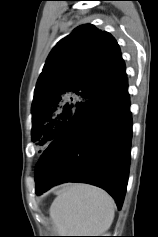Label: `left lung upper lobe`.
Instances as JSON below:
<instances>
[{
	"mask_svg": "<svg viewBox=\"0 0 158 237\" xmlns=\"http://www.w3.org/2000/svg\"><path fill=\"white\" fill-rule=\"evenodd\" d=\"M126 78L116 40L85 24L60 40L40 74L32 103V140L55 139L67 121L92 97ZM42 176L35 171L36 184Z\"/></svg>",
	"mask_w": 158,
	"mask_h": 237,
	"instance_id": "5c2ea615",
	"label": "left lung upper lobe"
}]
</instances>
